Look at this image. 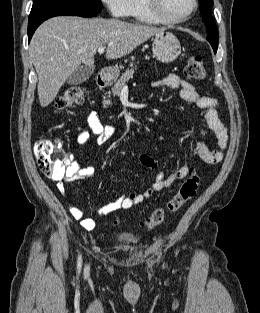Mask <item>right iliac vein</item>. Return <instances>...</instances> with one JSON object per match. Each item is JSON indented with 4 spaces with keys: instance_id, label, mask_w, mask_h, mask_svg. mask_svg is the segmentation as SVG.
<instances>
[{
    "instance_id": "right-iliac-vein-1",
    "label": "right iliac vein",
    "mask_w": 260,
    "mask_h": 313,
    "mask_svg": "<svg viewBox=\"0 0 260 313\" xmlns=\"http://www.w3.org/2000/svg\"><path fill=\"white\" fill-rule=\"evenodd\" d=\"M88 272H89V267L86 266V267H85V274H88Z\"/></svg>"
}]
</instances>
